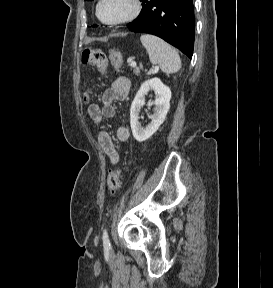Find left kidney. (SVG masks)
<instances>
[{"mask_svg":"<svg viewBox=\"0 0 273 288\" xmlns=\"http://www.w3.org/2000/svg\"><path fill=\"white\" fill-rule=\"evenodd\" d=\"M154 91L155 100L150 101L148 106L155 105L154 114L149 118L151 122L145 127H141L139 114L141 107L145 105V96L148 92ZM171 90L164 85L159 78H152L145 81L138 90L130 109V125L134 138L138 142L149 139L164 122L170 108Z\"/></svg>","mask_w":273,"mask_h":288,"instance_id":"left-kidney-1","label":"left kidney"}]
</instances>
